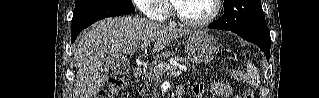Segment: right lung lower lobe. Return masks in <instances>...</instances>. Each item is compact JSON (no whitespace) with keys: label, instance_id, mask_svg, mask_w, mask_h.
I'll return each mask as SVG.
<instances>
[{"label":"right lung lower lobe","instance_id":"98d812e1","mask_svg":"<svg viewBox=\"0 0 319 98\" xmlns=\"http://www.w3.org/2000/svg\"><path fill=\"white\" fill-rule=\"evenodd\" d=\"M134 11V8L101 7L75 12L72 19L71 42L73 43L75 41L83 29L98 20L107 17L123 16Z\"/></svg>","mask_w":319,"mask_h":98}]
</instances>
